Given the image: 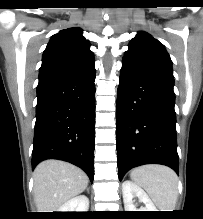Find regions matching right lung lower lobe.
Masks as SVG:
<instances>
[{
	"label": "right lung lower lobe",
	"instance_id": "obj_1",
	"mask_svg": "<svg viewBox=\"0 0 203 219\" xmlns=\"http://www.w3.org/2000/svg\"><path fill=\"white\" fill-rule=\"evenodd\" d=\"M94 61L41 70L37 86L32 167L60 159L94 178Z\"/></svg>",
	"mask_w": 203,
	"mask_h": 219
}]
</instances>
